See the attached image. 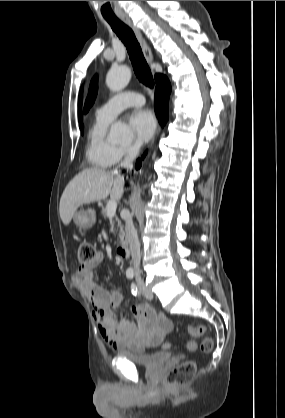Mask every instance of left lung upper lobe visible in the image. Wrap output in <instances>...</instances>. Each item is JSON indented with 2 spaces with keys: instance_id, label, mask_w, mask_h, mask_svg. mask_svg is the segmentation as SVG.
<instances>
[{
  "instance_id": "obj_1",
  "label": "left lung upper lobe",
  "mask_w": 285,
  "mask_h": 418,
  "mask_svg": "<svg viewBox=\"0 0 285 418\" xmlns=\"http://www.w3.org/2000/svg\"><path fill=\"white\" fill-rule=\"evenodd\" d=\"M97 88H98L97 77L95 76L90 83L88 97L86 99L85 108H84L85 112H87L90 109V107L93 105L96 95H97Z\"/></svg>"
}]
</instances>
